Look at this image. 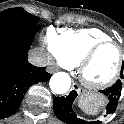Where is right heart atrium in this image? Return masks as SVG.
<instances>
[{
    "instance_id": "obj_1",
    "label": "right heart atrium",
    "mask_w": 124,
    "mask_h": 124,
    "mask_svg": "<svg viewBox=\"0 0 124 124\" xmlns=\"http://www.w3.org/2000/svg\"><path fill=\"white\" fill-rule=\"evenodd\" d=\"M43 44L51 58L56 59L65 67L71 66L67 63L60 50L58 34L53 29H47L45 35L43 36Z\"/></svg>"
}]
</instances>
